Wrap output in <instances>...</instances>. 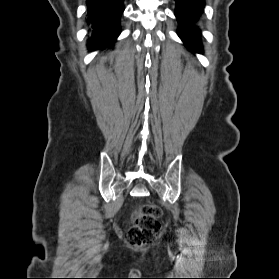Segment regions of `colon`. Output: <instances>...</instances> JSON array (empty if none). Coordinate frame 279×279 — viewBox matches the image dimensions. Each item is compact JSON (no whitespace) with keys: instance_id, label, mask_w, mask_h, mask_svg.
I'll return each mask as SVG.
<instances>
[{"instance_id":"1","label":"colon","mask_w":279,"mask_h":279,"mask_svg":"<svg viewBox=\"0 0 279 279\" xmlns=\"http://www.w3.org/2000/svg\"><path fill=\"white\" fill-rule=\"evenodd\" d=\"M162 210L151 203L139 204L132 211L131 226L127 231L130 246L140 248L155 240L160 232Z\"/></svg>"}]
</instances>
